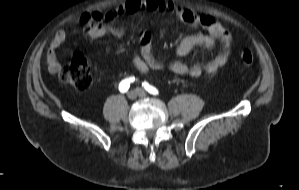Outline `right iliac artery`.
Returning <instances> with one entry per match:
<instances>
[{
    "instance_id": "1",
    "label": "right iliac artery",
    "mask_w": 299,
    "mask_h": 190,
    "mask_svg": "<svg viewBox=\"0 0 299 190\" xmlns=\"http://www.w3.org/2000/svg\"><path fill=\"white\" fill-rule=\"evenodd\" d=\"M133 81H135V77H130L128 79L122 80L119 84L120 92H122V93L126 92L130 87V83Z\"/></svg>"
}]
</instances>
